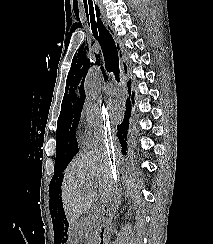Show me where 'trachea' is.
Segmentation results:
<instances>
[{"label":"trachea","instance_id":"3493384b","mask_svg":"<svg viewBox=\"0 0 213 244\" xmlns=\"http://www.w3.org/2000/svg\"><path fill=\"white\" fill-rule=\"evenodd\" d=\"M88 22L90 18V24L93 36L101 45L104 55L105 67L109 73L114 74L117 82H120V69H119V57L117 47L114 39L106 27L103 25L100 19V10L98 7L95 9L89 8L86 10Z\"/></svg>","mask_w":213,"mask_h":244}]
</instances>
